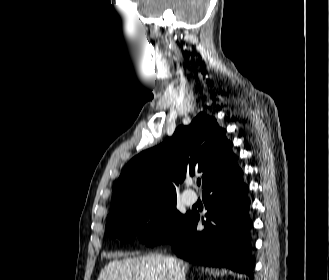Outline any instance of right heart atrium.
Returning a JSON list of instances; mask_svg holds the SVG:
<instances>
[{
  "label": "right heart atrium",
  "instance_id": "obj_1",
  "mask_svg": "<svg viewBox=\"0 0 329 280\" xmlns=\"http://www.w3.org/2000/svg\"><path fill=\"white\" fill-rule=\"evenodd\" d=\"M161 223V214L158 210H151L148 212L141 222V230L145 234H152L155 232Z\"/></svg>",
  "mask_w": 329,
  "mask_h": 280
}]
</instances>
